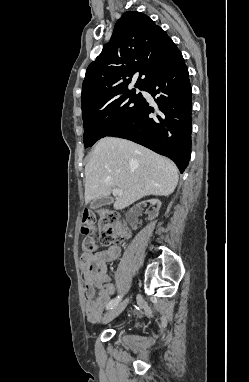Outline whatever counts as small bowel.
Here are the masks:
<instances>
[{
	"mask_svg": "<svg viewBox=\"0 0 249 382\" xmlns=\"http://www.w3.org/2000/svg\"><path fill=\"white\" fill-rule=\"evenodd\" d=\"M120 252V247L113 245L104 250L84 252L80 256L86 296L85 312L90 323L100 319L104 306L114 293V286L107 273V264L116 260ZM96 287L100 288L97 297H95Z\"/></svg>",
	"mask_w": 249,
	"mask_h": 382,
	"instance_id": "obj_1",
	"label": "small bowel"
}]
</instances>
